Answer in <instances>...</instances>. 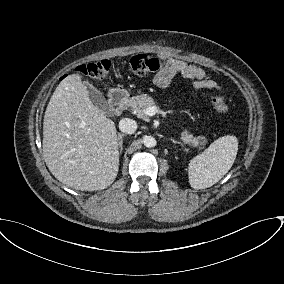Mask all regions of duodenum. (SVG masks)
Listing matches in <instances>:
<instances>
[{"instance_id":"duodenum-1","label":"duodenum","mask_w":284,"mask_h":284,"mask_svg":"<svg viewBox=\"0 0 284 284\" xmlns=\"http://www.w3.org/2000/svg\"><path fill=\"white\" fill-rule=\"evenodd\" d=\"M127 98L128 95L126 91L121 89L112 90L109 95V104L112 111L116 114L121 113L126 104Z\"/></svg>"}]
</instances>
